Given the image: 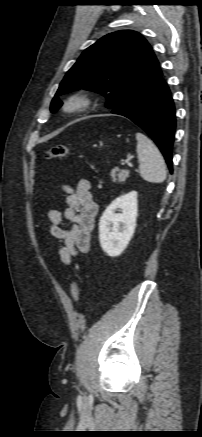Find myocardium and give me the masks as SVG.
I'll use <instances>...</instances> for the list:
<instances>
[{
  "mask_svg": "<svg viewBox=\"0 0 202 437\" xmlns=\"http://www.w3.org/2000/svg\"><path fill=\"white\" fill-rule=\"evenodd\" d=\"M91 103L92 99L88 94L76 91L64 100L62 109L67 114H75L89 107Z\"/></svg>",
  "mask_w": 202,
  "mask_h": 437,
  "instance_id": "myocardium-1",
  "label": "myocardium"
}]
</instances>
